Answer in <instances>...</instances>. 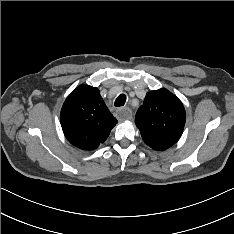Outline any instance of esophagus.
Listing matches in <instances>:
<instances>
[{
    "label": "esophagus",
    "mask_w": 234,
    "mask_h": 234,
    "mask_svg": "<svg viewBox=\"0 0 234 234\" xmlns=\"http://www.w3.org/2000/svg\"><path fill=\"white\" fill-rule=\"evenodd\" d=\"M119 118L123 120H130L132 119V111L131 109L125 107L117 110Z\"/></svg>",
    "instance_id": "34e87169"
}]
</instances>
